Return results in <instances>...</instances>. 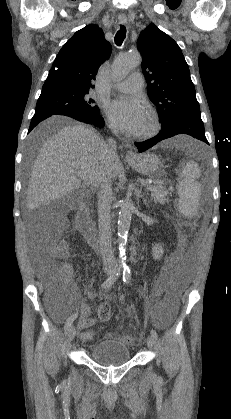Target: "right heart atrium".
<instances>
[{
  "label": "right heart atrium",
  "mask_w": 231,
  "mask_h": 419,
  "mask_svg": "<svg viewBox=\"0 0 231 419\" xmlns=\"http://www.w3.org/2000/svg\"><path fill=\"white\" fill-rule=\"evenodd\" d=\"M108 126H109V128L112 130V131H114V132H116L117 131V127L112 123V122H108Z\"/></svg>",
  "instance_id": "obj_1"
}]
</instances>
